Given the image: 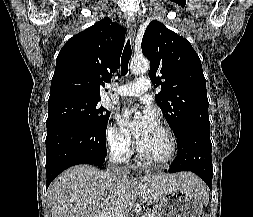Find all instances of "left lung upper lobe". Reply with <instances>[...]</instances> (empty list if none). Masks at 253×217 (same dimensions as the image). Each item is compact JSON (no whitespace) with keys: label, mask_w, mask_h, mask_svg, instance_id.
<instances>
[{"label":"left lung upper lobe","mask_w":253,"mask_h":217,"mask_svg":"<svg viewBox=\"0 0 253 217\" xmlns=\"http://www.w3.org/2000/svg\"><path fill=\"white\" fill-rule=\"evenodd\" d=\"M149 77L161 91L155 100L174 135L188 125L210 128L206 80L197 53L185 38L152 21L142 39Z\"/></svg>","instance_id":"5c2ea615"}]
</instances>
